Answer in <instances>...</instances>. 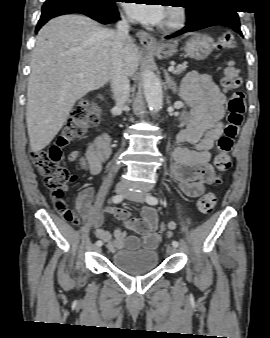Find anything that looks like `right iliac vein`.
Segmentation results:
<instances>
[{
	"label": "right iliac vein",
	"mask_w": 270,
	"mask_h": 338,
	"mask_svg": "<svg viewBox=\"0 0 270 338\" xmlns=\"http://www.w3.org/2000/svg\"><path fill=\"white\" fill-rule=\"evenodd\" d=\"M126 191V186L123 185V184H118L116 187H115V192L117 194H124ZM93 250L96 251V252H100L101 251V248L100 246H93Z\"/></svg>",
	"instance_id": "right-iliac-vein-1"
}]
</instances>
